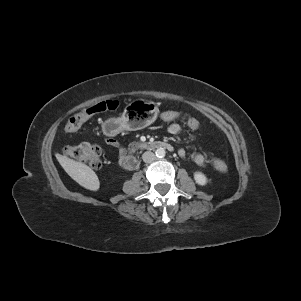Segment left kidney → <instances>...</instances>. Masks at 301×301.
<instances>
[{
    "instance_id": "1",
    "label": "left kidney",
    "mask_w": 301,
    "mask_h": 301,
    "mask_svg": "<svg viewBox=\"0 0 301 301\" xmlns=\"http://www.w3.org/2000/svg\"><path fill=\"white\" fill-rule=\"evenodd\" d=\"M194 180L198 185L204 186L207 184L206 176L201 172L194 173Z\"/></svg>"
}]
</instances>
